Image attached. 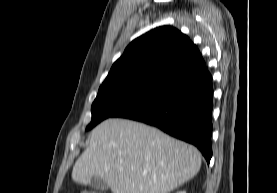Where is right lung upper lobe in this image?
<instances>
[{"label": "right lung upper lobe", "mask_w": 277, "mask_h": 193, "mask_svg": "<svg viewBox=\"0 0 277 193\" xmlns=\"http://www.w3.org/2000/svg\"><path fill=\"white\" fill-rule=\"evenodd\" d=\"M205 66L198 48L171 26L155 28L132 41L99 89L129 87L155 91Z\"/></svg>", "instance_id": "cb5924a9"}]
</instances>
